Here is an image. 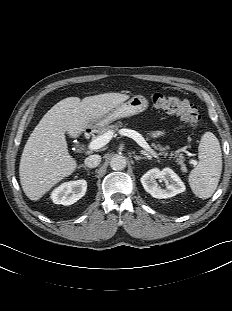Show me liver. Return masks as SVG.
Segmentation results:
<instances>
[{"label":"liver","instance_id":"liver-1","mask_svg":"<svg viewBox=\"0 0 232 311\" xmlns=\"http://www.w3.org/2000/svg\"><path fill=\"white\" fill-rule=\"evenodd\" d=\"M129 98L127 94L104 93L68 97L55 104L28 138L19 165L20 183L30 200H39L47 191L71 175L76 160L69 154L65 132L81 135L89 124Z\"/></svg>","mask_w":232,"mask_h":311}]
</instances>
